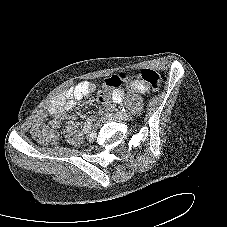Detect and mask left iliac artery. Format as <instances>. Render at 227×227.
I'll return each mask as SVG.
<instances>
[{"instance_id":"obj_1","label":"left iliac artery","mask_w":227,"mask_h":227,"mask_svg":"<svg viewBox=\"0 0 227 227\" xmlns=\"http://www.w3.org/2000/svg\"><path fill=\"white\" fill-rule=\"evenodd\" d=\"M118 113L127 114V112L124 108L122 109V112H118Z\"/></svg>"}]
</instances>
